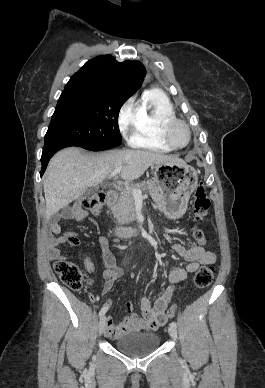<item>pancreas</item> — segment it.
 <instances>
[{"label":"pancreas","mask_w":265,"mask_h":388,"mask_svg":"<svg viewBox=\"0 0 265 388\" xmlns=\"http://www.w3.org/2000/svg\"><path fill=\"white\" fill-rule=\"evenodd\" d=\"M143 186H146L145 190H149V194L157 208H160V210L166 208L164 194H162L161 188H157V184L154 180L132 184V186H129V188H126V190L122 192L117 206H113L112 208V214L119 224H129V222H134V220H136L134 198L131 192L134 188H136V190H141Z\"/></svg>","instance_id":"pancreas-1"}]
</instances>
